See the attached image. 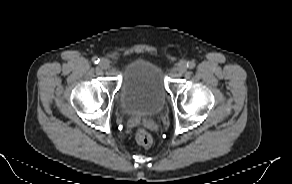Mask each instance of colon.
<instances>
[{
	"label": "colon",
	"mask_w": 292,
	"mask_h": 184,
	"mask_svg": "<svg viewBox=\"0 0 292 184\" xmlns=\"http://www.w3.org/2000/svg\"><path fill=\"white\" fill-rule=\"evenodd\" d=\"M135 140L139 145L144 147H148L153 143L151 134L145 129L137 130L135 134Z\"/></svg>",
	"instance_id": "5ec220e1"
}]
</instances>
